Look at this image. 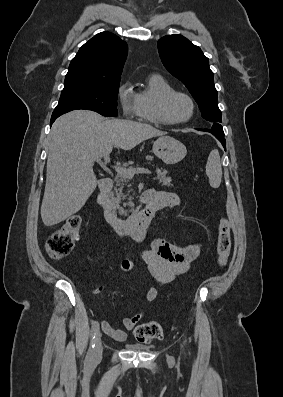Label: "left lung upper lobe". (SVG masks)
<instances>
[{"label": "left lung upper lobe", "instance_id": "5c2ea615", "mask_svg": "<svg viewBox=\"0 0 283 397\" xmlns=\"http://www.w3.org/2000/svg\"><path fill=\"white\" fill-rule=\"evenodd\" d=\"M158 51L166 69L178 78L197 102L203 118L213 122L211 130L223 134L214 74L201 49L181 35H166L158 41Z\"/></svg>", "mask_w": 283, "mask_h": 397}]
</instances>
